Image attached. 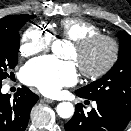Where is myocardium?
Segmentation results:
<instances>
[{
    "instance_id": "1",
    "label": "myocardium",
    "mask_w": 131,
    "mask_h": 131,
    "mask_svg": "<svg viewBox=\"0 0 131 131\" xmlns=\"http://www.w3.org/2000/svg\"><path fill=\"white\" fill-rule=\"evenodd\" d=\"M103 41L107 43L110 47V56L106 63L95 71H89L81 66L78 65L80 72L83 76L89 79H99L103 76H105L107 73H109L114 65L116 64L119 56V44L117 40L107 34L103 33H97L85 36L77 41L74 42V47L78 52H83L87 48H89L91 45L95 44L96 42Z\"/></svg>"
}]
</instances>
